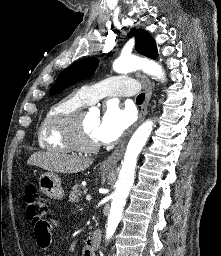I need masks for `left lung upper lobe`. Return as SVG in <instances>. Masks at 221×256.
<instances>
[{
    "instance_id": "5c2ea615",
    "label": "left lung upper lobe",
    "mask_w": 221,
    "mask_h": 256,
    "mask_svg": "<svg viewBox=\"0 0 221 256\" xmlns=\"http://www.w3.org/2000/svg\"><path fill=\"white\" fill-rule=\"evenodd\" d=\"M130 36H135V47L140 54L156 59L158 55L156 44L146 30L133 28ZM98 64V59L94 57L85 58L72 64L59 75L50 89V94H57L68 86L90 77L95 72Z\"/></svg>"
}]
</instances>
